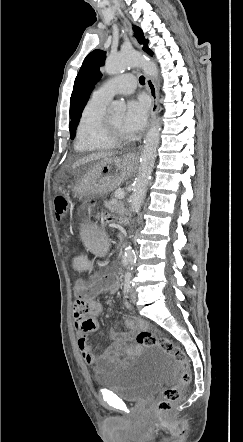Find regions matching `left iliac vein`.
Listing matches in <instances>:
<instances>
[{
    "label": "left iliac vein",
    "instance_id": "left-iliac-vein-1",
    "mask_svg": "<svg viewBox=\"0 0 243 442\" xmlns=\"http://www.w3.org/2000/svg\"><path fill=\"white\" fill-rule=\"evenodd\" d=\"M130 299H131V301H132L133 303H135L136 300H137V294H136V291H135L134 289H132V290L130 291Z\"/></svg>",
    "mask_w": 243,
    "mask_h": 442
}]
</instances>
